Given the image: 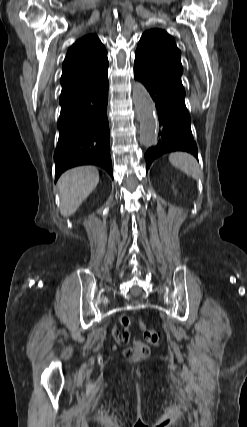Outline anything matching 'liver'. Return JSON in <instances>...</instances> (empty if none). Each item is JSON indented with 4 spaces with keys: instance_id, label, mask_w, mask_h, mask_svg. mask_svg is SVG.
<instances>
[{
    "instance_id": "1",
    "label": "liver",
    "mask_w": 247,
    "mask_h": 427,
    "mask_svg": "<svg viewBox=\"0 0 247 427\" xmlns=\"http://www.w3.org/2000/svg\"><path fill=\"white\" fill-rule=\"evenodd\" d=\"M98 182L99 172L94 166H81L64 172L58 180L61 215L71 216Z\"/></svg>"
}]
</instances>
